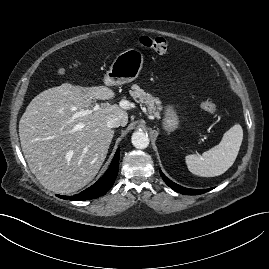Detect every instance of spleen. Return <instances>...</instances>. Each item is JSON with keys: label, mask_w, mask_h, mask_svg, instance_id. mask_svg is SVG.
Here are the masks:
<instances>
[{"label": "spleen", "mask_w": 269, "mask_h": 269, "mask_svg": "<svg viewBox=\"0 0 269 269\" xmlns=\"http://www.w3.org/2000/svg\"><path fill=\"white\" fill-rule=\"evenodd\" d=\"M243 140V129L234 124L222 137L221 142L202 155L186 156L190 172L203 177H214L225 173L235 162Z\"/></svg>", "instance_id": "3e777b00"}]
</instances>
